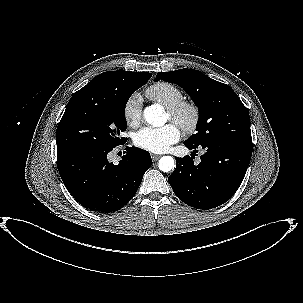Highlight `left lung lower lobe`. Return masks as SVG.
Returning <instances> with one entry per match:
<instances>
[{"instance_id": "obj_1", "label": "left lung lower lobe", "mask_w": 303, "mask_h": 303, "mask_svg": "<svg viewBox=\"0 0 303 303\" xmlns=\"http://www.w3.org/2000/svg\"><path fill=\"white\" fill-rule=\"evenodd\" d=\"M189 149H204L201 162L192 158H176V169L169 176L175 195L197 209H212L228 201L240 187L248 168L252 139L226 138L200 146L186 144Z\"/></svg>"}]
</instances>
